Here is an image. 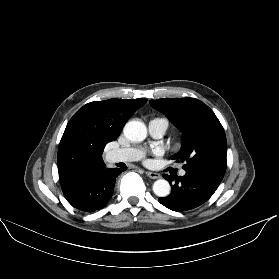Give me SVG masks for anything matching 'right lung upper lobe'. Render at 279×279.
<instances>
[{"mask_svg":"<svg viewBox=\"0 0 279 279\" xmlns=\"http://www.w3.org/2000/svg\"><path fill=\"white\" fill-rule=\"evenodd\" d=\"M146 99H109L80 108L68 122L58 148L61 185L105 169L102 153L120 135Z\"/></svg>","mask_w":279,"mask_h":279,"instance_id":"1","label":"right lung upper lobe"}]
</instances>
